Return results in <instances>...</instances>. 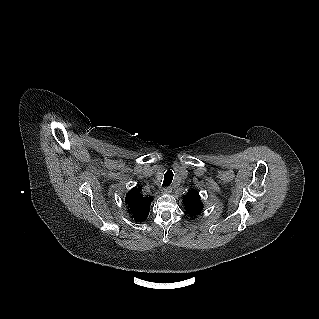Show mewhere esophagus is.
I'll return each instance as SVG.
<instances>
[{
  "instance_id": "obj_1",
  "label": "esophagus",
  "mask_w": 319,
  "mask_h": 319,
  "mask_svg": "<svg viewBox=\"0 0 319 319\" xmlns=\"http://www.w3.org/2000/svg\"><path fill=\"white\" fill-rule=\"evenodd\" d=\"M171 191H172V187L171 186H167V187H165V188H163L161 190V193L162 194H169V193H171Z\"/></svg>"
}]
</instances>
